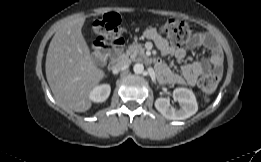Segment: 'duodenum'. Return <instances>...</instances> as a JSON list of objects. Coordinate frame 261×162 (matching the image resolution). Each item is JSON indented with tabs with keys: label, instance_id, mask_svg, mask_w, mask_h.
<instances>
[{
	"label": "duodenum",
	"instance_id": "410a0bca",
	"mask_svg": "<svg viewBox=\"0 0 261 162\" xmlns=\"http://www.w3.org/2000/svg\"><path fill=\"white\" fill-rule=\"evenodd\" d=\"M123 44H124V41L122 43L115 42L109 46L108 56L112 59L113 62H116L121 58Z\"/></svg>",
	"mask_w": 261,
	"mask_h": 162
}]
</instances>
